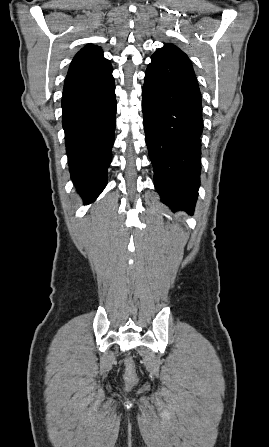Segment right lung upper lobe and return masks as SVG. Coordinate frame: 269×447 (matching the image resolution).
Instances as JSON below:
<instances>
[{
  "label": "right lung upper lobe",
  "instance_id": "right-lung-upper-lobe-1",
  "mask_svg": "<svg viewBox=\"0 0 269 447\" xmlns=\"http://www.w3.org/2000/svg\"><path fill=\"white\" fill-rule=\"evenodd\" d=\"M106 63H109V61L103 57L100 47L95 45H86L75 55L69 67L68 74L77 70Z\"/></svg>",
  "mask_w": 269,
  "mask_h": 447
}]
</instances>
